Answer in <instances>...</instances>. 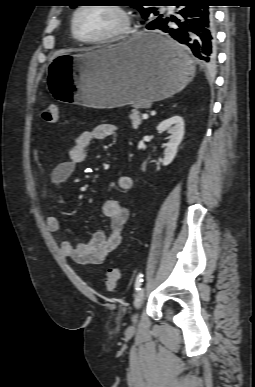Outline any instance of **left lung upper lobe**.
<instances>
[{"label":"left lung upper lobe","mask_w":255,"mask_h":387,"mask_svg":"<svg viewBox=\"0 0 255 387\" xmlns=\"http://www.w3.org/2000/svg\"><path fill=\"white\" fill-rule=\"evenodd\" d=\"M173 1L174 0H167V1L166 0H129L128 3H130L131 7L138 9L142 17L148 20V22L150 23L155 19L162 17L163 15L159 14V12L157 11V8H152V7L147 8V6H144L146 5V3H151V5L153 6H158V5L168 4ZM71 7H75V6H71ZM154 15L157 18H155Z\"/></svg>","instance_id":"5c2ea615"}]
</instances>
